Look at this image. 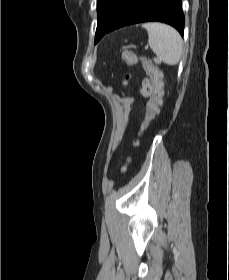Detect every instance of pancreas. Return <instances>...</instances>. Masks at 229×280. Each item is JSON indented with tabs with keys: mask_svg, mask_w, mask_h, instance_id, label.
Returning <instances> with one entry per match:
<instances>
[{
	"mask_svg": "<svg viewBox=\"0 0 229 280\" xmlns=\"http://www.w3.org/2000/svg\"><path fill=\"white\" fill-rule=\"evenodd\" d=\"M154 62H155V63H158V62H159V60H158V59H156V58H154Z\"/></svg>",
	"mask_w": 229,
	"mask_h": 280,
	"instance_id": "obj_1",
	"label": "pancreas"
}]
</instances>
